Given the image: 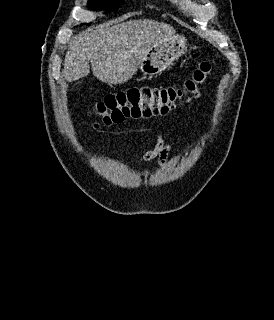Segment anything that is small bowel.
<instances>
[{"label": "small bowel", "mask_w": 274, "mask_h": 320, "mask_svg": "<svg viewBox=\"0 0 274 320\" xmlns=\"http://www.w3.org/2000/svg\"><path fill=\"white\" fill-rule=\"evenodd\" d=\"M154 134L156 138L155 146L151 150L143 154L142 161L149 162L151 160L157 159L158 164L162 168L166 169L168 168V156L172 148V145L166 143L164 136L160 131L155 129ZM100 157L102 158L101 154Z\"/></svg>", "instance_id": "small-bowel-1"}]
</instances>
